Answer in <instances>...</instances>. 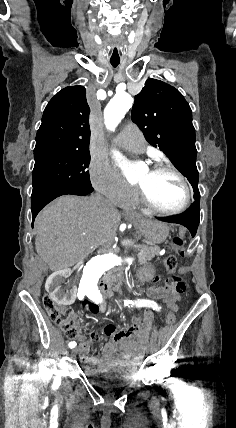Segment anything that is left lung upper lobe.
Masks as SVG:
<instances>
[{"instance_id":"obj_1","label":"left lung upper lobe","mask_w":236,"mask_h":428,"mask_svg":"<svg viewBox=\"0 0 236 428\" xmlns=\"http://www.w3.org/2000/svg\"><path fill=\"white\" fill-rule=\"evenodd\" d=\"M131 117L145 139L159 147L188 178L194 193L199 192L195 129L190 106L182 94L167 83L148 79L135 96Z\"/></svg>"}]
</instances>
